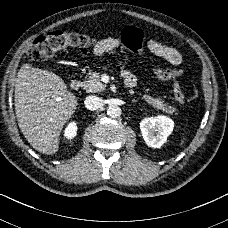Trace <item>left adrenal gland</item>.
Instances as JSON below:
<instances>
[{
	"mask_svg": "<svg viewBox=\"0 0 228 228\" xmlns=\"http://www.w3.org/2000/svg\"><path fill=\"white\" fill-rule=\"evenodd\" d=\"M132 102H137V100H132Z\"/></svg>",
	"mask_w": 228,
	"mask_h": 228,
	"instance_id": "1",
	"label": "left adrenal gland"
}]
</instances>
